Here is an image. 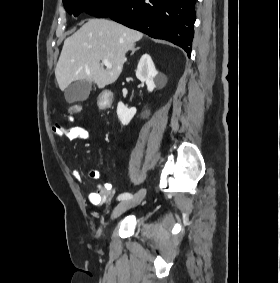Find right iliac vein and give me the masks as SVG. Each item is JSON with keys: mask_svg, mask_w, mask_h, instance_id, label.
Listing matches in <instances>:
<instances>
[{"mask_svg": "<svg viewBox=\"0 0 280 283\" xmlns=\"http://www.w3.org/2000/svg\"><path fill=\"white\" fill-rule=\"evenodd\" d=\"M146 196V189H140L132 198L121 201L112 211L111 220L119 217L130 208L139 205Z\"/></svg>", "mask_w": 280, "mask_h": 283, "instance_id": "obj_1", "label": "right iliac vein"}]
</instances>
